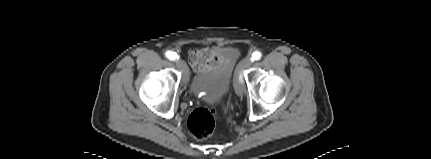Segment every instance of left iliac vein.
Masks as SVG:
<instances>
[{
    "mask_svg": "<svg viewBox=\"0 0 431 159\" xmlns=\"http://www.w3.org/2000/svg\"><path fill=\"white\" fill-rule=\"evenodd\" d=\"M252 65V59L250 57H246L242 60L239 69L247 68ZM235 92L238 96L242 97L245 93V87L242 80L238 77L235 82Z\"/></svg>",
    "mask_w": 431,
    "mask_h": 159,
    "instance_id": "1",
    "label": "left iliac vein"
}]
</instances>
